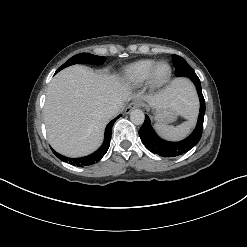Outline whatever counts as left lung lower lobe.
<instances>
[{"instance_id":"left-lung-lower-lobe-1","label":"left lung lower lobe","mask_w":247,"mask_h":247,"mask_svg":"<svg viewBox=\"0 0 247 247\" xmlns=\"http://www.w3.org/2000/svg\"><path fill=\"white\" fill-rule=\"evenodd\" d=\"M189 78L195 84L200 99V113L196 128L186 139L180 142H168L159 138L151 127L149 117L145 115V121L139 130V136L145 147L152 153L163 157L178 156L189 151L199 142L201 138L205 114V100L198 76H190Z\"/></svg>"}]
</instances>
